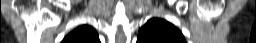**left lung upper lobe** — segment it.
Listing matches in <instances>:
<instances>
[{"label": "left lung upper lobe", "mask_w": 256, "mask_h": 43, "mask_svg": "<svg viewBox=\"0 0 256 43\" xmlns=\"http://www.w3.org/2000/svg\"><path fill=\"white\" fill-rule=\"evenodd\" d=\"M137 43H186L183 34L171 23L152 18L139 30Z\"/></svg>", "instance_id": "1"}]
</instances>
